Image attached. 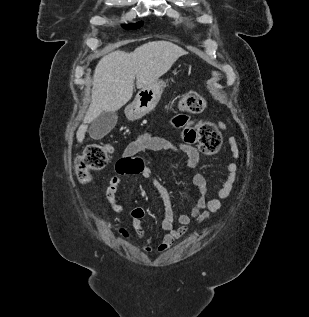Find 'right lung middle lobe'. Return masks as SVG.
Returning a JSON list of instances; mask_svg holds the SVG:
<instances>
[{
	"instance_id": "1",
	"label": "right lung middle lobe",
	"mask_w": 309,
	"mask_h": 317,
	"mask_svg": "<svg viewBox=\"0 0 309 317\" xmlns=\"http://www.w3.org/2000/svg\"><path fill=\"white\" fill-rule=\"evenodd\" d=\"M143 25L142 22L134 23V24H129V25H123L125 29L131 30V29H137L140 28Z\"/></svg>"
}]
</instances>
